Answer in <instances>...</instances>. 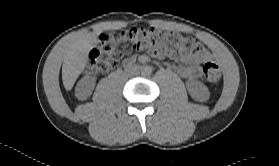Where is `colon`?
Masks as SVG:
<instances>
[{
	"mask_svg": "<svg viewBox=\"0 0 279 166\" xmlns=\"http://www.w3.org/2000/svg\"><path fill=\"white\" fill-rule=\"evenodd\" d=\"M120 43H125L129 51L149 50L153 54H167L173 58L187 56L200 49L196 40L178 33L157 28H131L118 36L102 34L89 55L87 72L103 74L115 68L123 56ZM221 74V67L215 62H207L203 66V75L210 83H217Z\"/></svg>",
	"mask_w": 279,
	"mask_h": 166,
	"instance_id": "colon-1",
	"label": "colon"
}]
</instances>
